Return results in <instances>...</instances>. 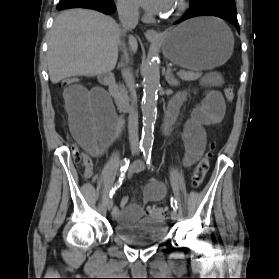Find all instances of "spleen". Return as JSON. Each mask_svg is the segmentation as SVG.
Wrapping results in <instances>:
<instances>
[{
	"mask_svg": "<svg viewBox=\"0 0 279 279\" xmlns=\"http://www.w3.org/2000/svg\"><path fill=\"white\" fill-rule=\"evenodd\" d=\"M225 27L231 33L230 29L226 25H225ZM202 83L218 86V85L222 84V79H221L220 75H218L217 73L212 72V73L207 74L202 79Z\"/></svg>",
	"mask_w": 279,
	"mask_h": 279,
	"instance_id": "spleen-1",
	"label": "spleen"
}]
</instances>
